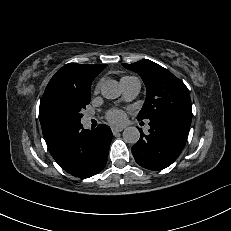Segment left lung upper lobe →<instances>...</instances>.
Segmentation results:
<instances>
[{
    "label": "left lung upper lobe",
    "instance_id": "5c2ea615",
    "mask_svg": "<svg viewBox=\"0 0 231 231\" xmlns=\"http://www.w3.org/2000/svg\"><path fill=\"white\" fill-rule=\"evenodd\" d=\"M138 73L146 85V100L137 119H152L157 115H174L192 119L188 88L170 71L150 60L122 64Z\"/></svg>",
    "mask_w": 231,
    "mask_h": 231
}]
</instances>
